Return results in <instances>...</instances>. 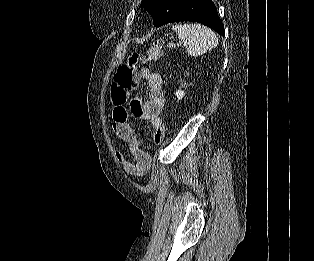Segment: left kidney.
Listing matches in <instances>:
<instances>
[{"instance_id": "1", "label": "left kidney", "mask_w": 314, "mask_h": 261, "mask_svg": "<svg viewBox=\"0 0 314 261\" xmlns=\"http://www.w3.org/2000/svg\"><path fill=\"white\" fill-rule=\"evenodd\" d=\"M182 87H187L186 83H181ZM185 96V91L182 90L181 88L176 91V97L178 100L182 99Z\"/></svg>"}]
</instances>
